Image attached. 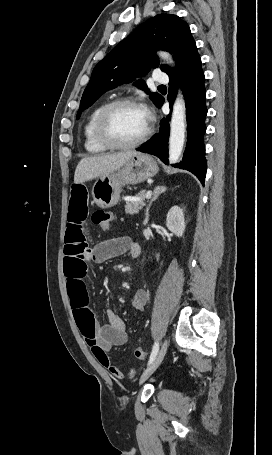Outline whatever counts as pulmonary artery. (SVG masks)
<instances>
[{"label": "pulmonary artery", "mask_w": 272, "mask_h": 455, "mask_svg": "<svg viewBox=\"0 0 272 455\" xmlns=\"http://www.w3.org/2000/svg\"><path fill=\"white\" fill-rule=\"evenodd\" d=\"M154 81L156 83L166 84V83H168L169 78H168V76L165 73H163L161 71H158L154 75Z\"/></svg>", "instance_id": "e3ab8cb5"}]
</instances>
